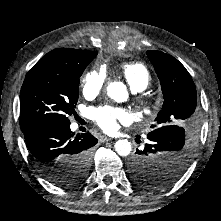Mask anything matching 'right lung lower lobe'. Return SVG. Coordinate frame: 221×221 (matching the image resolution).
<instances>
[{"label": "right lung lower lobe", "instance_id": "right-lung-lower-lobe-1", "mask_svg": "<svg viewBox=\"0 0 221 221\" xmlns=\"http://www.w3.org/2000/svg\"><path fill=\"white\" fill-rule=\"evenodd\" d=\"M38 170L49 180L48 171L69 158L90 153L97 139L89 132L73 137L70 122L44 121L23 131Z\"/></svg>", "mask_w": 221, "mask_h": 221}]
</instances>
